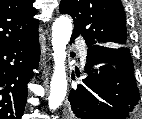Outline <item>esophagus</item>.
I'll list each match as a JSON object with an SVG mask.
<instances>
[{
    "mask_svg": "<svg viewBox=\"0 0 142 119\" xmlns=\"http://www.w3.org/2000/svg\"><path fill=\"white\" fill-rule=\"evenodd\" d=\"M41 66L44 67V68L46 67V66H45V58L42 59V64H41Z\"/></svg>",
    "mask_w": 142,
    "mask_h": 119,
    "instance_id": "34e87169",
    "label": "esophagus"
}]
</instances>
